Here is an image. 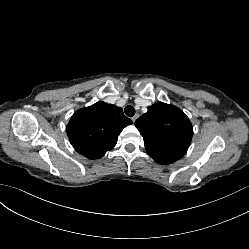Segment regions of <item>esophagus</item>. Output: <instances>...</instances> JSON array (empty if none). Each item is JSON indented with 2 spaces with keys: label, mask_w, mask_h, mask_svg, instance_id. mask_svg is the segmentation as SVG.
I'll return each mask as SVG.
<instances>
[{
  "label": "esophagus",
  "mask_w": 249,
  "mask_h": 249,
  "mask_svg": "<svg viewBox=\"0 0 249 249\" xmlns=\"http://www.w3.org/2000/svg\"><path fill=\"white\" fill-rule=\"evenodd\" d=\"M137 118H138V115H135V116L132 118V121L135 122Z\"/></svg>",
  "instance_id": "obj_1"
}]
</instances>
